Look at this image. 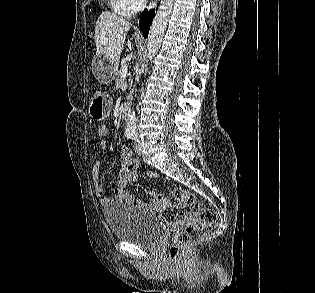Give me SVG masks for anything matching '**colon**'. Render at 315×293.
<instances>
[{
	"mask_svg": "<svg viewBox=\"0 0 315 293\" xmlns=\"http://www.w3.org/2000/svg\"><path fill=\"white\" fill-rule=\"evenodd\" d=\"M96 133L99 136H105L107 134V127L101 124L97 127ZM173 198L182 206L194 205L196 210H200V214L197 217H192L185 220L181 225L183 228L177 230L173 228L171 244L169 248V258L172 261L179 260L191 240V234L195 231L202 230L213 223L217 219L216 212L211 208L202 209V206L196 202L195 196L182 189H175L172 192Z\"/></svg>",
	"mask_w": 315,
	"mask_h": 293,
	"instance_id": "5ec220e1",
	"label": "colon"
}]
</instances>
